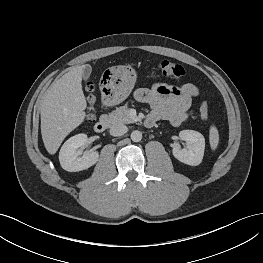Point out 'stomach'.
Listing matches in <instances>:
<instances>
[{
	"label": "stomach",
	"mask_w": 263,
	"mask_h": 263,
	"mask_svg": "<svg viewBox=\"0 0 263 263\" xmlns=\"http://www.w3.org/2000/svg\"><path fill=\"white\" fill-rule=\"evenodd\" d=\"M137 73L131 66L108 68L102 76L101 88L108 104H119L131 93L136 83Z\"/></svg>",
	"instance_id": "obj_1"
}]
</instances>
